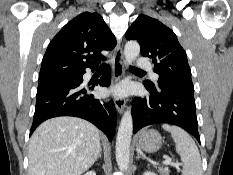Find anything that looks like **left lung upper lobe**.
I'll return each instance as SVG.
<instances>
[{"mask_svg": "<svg viewBox=\"0 0 233 175\" xmlns=\"http://www.w3.org/2000/svg\"><path fill=\"white\" fill-rule=\"evenodd\" d=\"M126 39L139 42L141 54L152 58L154 71L159 74L157 87L150 81H144L145 85L151 89L175 86L194 90L186 53L171 29L141 14L127 30Z\"/></svg>", "mask_w": 233, "mask_h": 175, "instance_id": "5c2ea615", "label": "left lung upper lobe"}]
</instances>
